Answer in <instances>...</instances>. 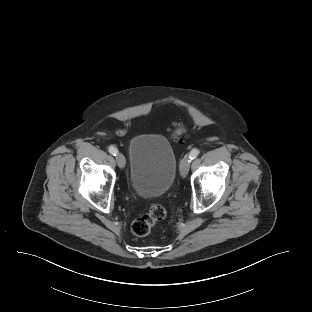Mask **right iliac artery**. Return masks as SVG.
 Listing matches in <instances>:
<instances>
[{
	"label": "right iliac artery",
	"mask_w": 312,
	"mask_h": 312,
	"mask_svg": "<svg viewBox=\"0 0 312 312\" xmlns=\"http://www.w3.org/2000/svg\"><path fill=\"white\" fill-rule=\"evenodd\" d=\"M108 150L113 156H116V154L118 153V150L113 146H110Z\"/></svg>",
	"instance_id": "right-iliac-artery-1"
}]
</instances>
